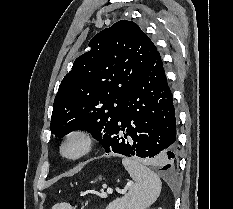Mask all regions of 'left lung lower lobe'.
<instances>
[{"mask_svg": "<svg viewBox=\"0 0 233 209\" xmlns=\"http://www.w3.org/2000/svg\"><path fill=\"white\" fill-rule=\"evenodd\" d=\"M106 153L136 156L172 169L176 159V118L159 52L131 88L125 109L102 139Z\"/></svg>", "mask_w": 233, "mask_h": 209, "instance_id": "obj_1", "label": "left lung lower lobe"}]
</instances>
